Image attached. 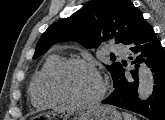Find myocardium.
<instances>
[{
  "mask_svg": "<svg viewBox=\"0 0 165 120\" xmlns=\"http://www.w3.org/2000/svg\"><path fill=\"white\" fill-rule=\"evenodd\" d=\"M72 66L86 67L92 70L98 76L101 82V89L98 92V94L90 98L74 99L66 96L60 90L58 86V78L63 71H65L67 68ZM46 85L49 93L59 102H65V103L77 104V105H89V104L97 103L105 96L107 90L106 81L101 75L100 71L96 68V66L93 63L81 58H67L60 60L50 71L47 77Z\"/></svg>",
  "mask_w": 165,
  "mask_h": 120,
  "instance_id": "myocardium-1",
  "label": "myocardium"
}]
</instances>
